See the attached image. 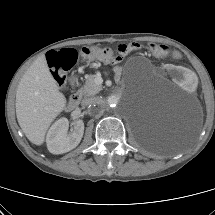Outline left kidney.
Instances as JSON below:
<instances>
[{
	"label": "left kidney",
	"instance_id": "1",
	"mask_svg": "<svg viewBox=\"0 0 215 215\" xmlns=\"http://www.w3.org/2000/svg\"><path fill=\"white\" fill-rule=\"evenodd\" d=\"M165 73L179 82L180 86L186 91H193L199 87V78L185 67L167 64L165 66Z\"/></svg>",
	"mask_w": 215,
	"mask_h": 215
}]
</instances>
